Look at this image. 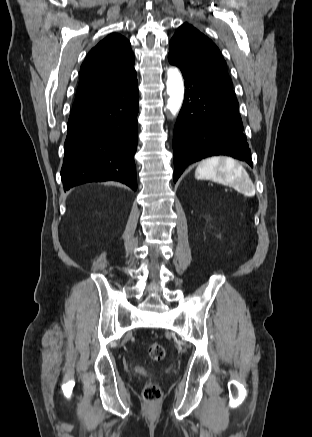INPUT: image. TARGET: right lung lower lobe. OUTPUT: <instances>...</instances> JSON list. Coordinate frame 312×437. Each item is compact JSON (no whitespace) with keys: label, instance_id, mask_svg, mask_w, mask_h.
<instances>
[{"label":"right lung lower lobe","instance_id":"98d812e1","mask_svg":"<svg viewBox=\"0 0 312 437\" xmlns=\"http://www.w3.org/2000/svg\"><path fill=\"white\" fill-rule=\"evenodd\" d=\"M137 74L121 89L83 107L68 120L63 187L97 181H119L137 190L134 154L138 123Z\"/></svg>","mask_w":312,"mask_h":437}]
</instances>
